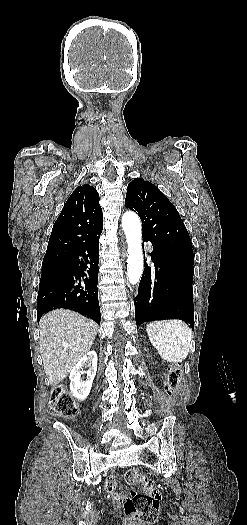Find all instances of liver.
I'll return each instance as SVG.
<instances>
[{"label":"liver","mask_w":247,"mask_h":525,"mask_svg":"<svg viewBox=\"0 0 247 525\" xmlns=\"http://www.w3.org/2000/svg\"><path fill=\"white\" fill-rule=\"evenodd\" d=\"M39 329L45 375L50 385H59L89 353L98 325L75 311L55 309L41 317Z\"/></svg>","instance_id":"obj_1"}]
</instances>
